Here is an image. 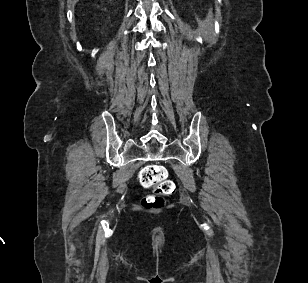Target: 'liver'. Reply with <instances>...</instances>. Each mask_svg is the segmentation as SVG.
<instances>
[{"label":"liver","mask_w":308,"mask_h":283,"mask_svg":"<svg viewBox=\"0 0 308 283\" xmlns=\"http://www.w3.org/2000/svg\"><path fill=\"white\" fill-rule=\"evenodd\" d=\"M75 2H78L79 0H74Z\"/></svg>","instance_id":"obj_1"}]
</instances>
